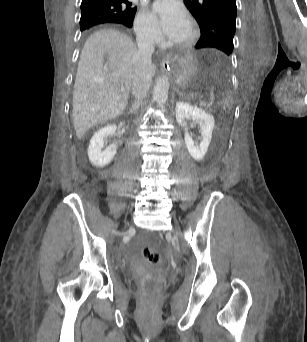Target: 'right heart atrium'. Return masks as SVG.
I'll return each instance as SVG.
<instances>
[{
	"instance_id": "obj_1",
	"label": "right heart atrium",
	"mask_w": 307,
	"mask_h": 342,
	"mask_svg": "<svg viewBox=\"0 0 307 342\" xmlns=\"http://www.w3.org/2000/svg\"><path fill=\"white\" fill-rule=\"evenodd\" d=\"M134 32L141 38H149L154 34L153 28L142 16H139L134 23Z\"/></svg>"
}]
</instances>
